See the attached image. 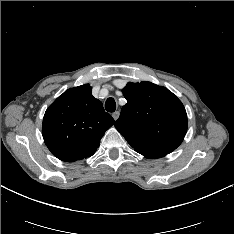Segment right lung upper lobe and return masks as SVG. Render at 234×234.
<instances>
[{"label": "right lung upper lobe", "instance_id": "obj_1", "mask_svg": "<svg viewBox=\"0 0 234 234\" xmlns=\"http://www.w3.org/2000/svg\"><path fill=\"white\" fill-rule=\"evenodd\" d=\"M114 119L92 95L89 84L66 90L46 110L42 135L58 159L74 162L92 156Z\"/></svg>", "mask_w": 234, "mask_h": 234}]
</instances>
